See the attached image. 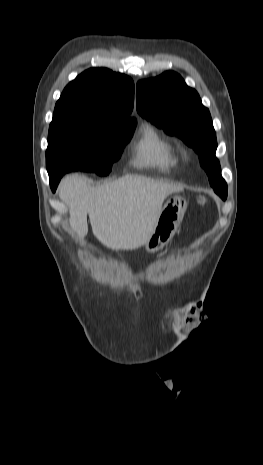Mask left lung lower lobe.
<instances>
[{"label": "left lung lower lobe", "mask_w": 263, "mask_h": 465, "mask_svg": "<svg viewBox=\"0 0 263 465\" xmlns=\"http://www.w3.org/2000/svg\"><path fill=\"white\" fill-rule=\"evenodd\" d=\"M200 162L210 179L221 173L220 165L217 159L207 157L200 159Z\"/></svg>", "instance_id": "0a47b994"}]
</instances>
